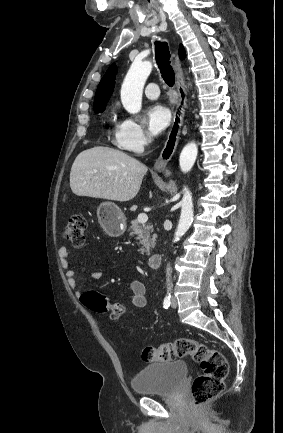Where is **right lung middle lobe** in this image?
I'll return each instance as SVG.
<instances>
[{"label":"right lung middle lobe","instance_id":"1","mask_svg":"<svg viewBox=\"0 0 283 433\" xmlns=\"http://www.w3.org/2000/svg\"><path fill=\"white\" fill-rule=\"evenodd\" d=\"M104 110H105V107H101V108H98L94 111H95V113H99V112H103Z\"/></svg>","mask_w":283,"mask_h":433}]
</instances>
